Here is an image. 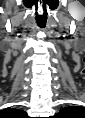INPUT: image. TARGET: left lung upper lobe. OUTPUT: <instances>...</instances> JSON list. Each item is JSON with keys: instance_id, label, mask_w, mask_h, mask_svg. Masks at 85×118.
I'll return each mask as SVG.
<instances>
[{"instance_id": "1", "label": "left lung upper lobe", "mask_w": 85, "mask_h": 118, "mask_svg": "<svg viewBox=\"0 0 85 118\" xmlns=\"http://www.w3.org/2000/svg\"><path fill=\"white\" fill-rule=\"evenodd\" d=\"M75 109V107H66L63 108L60 112L59 115H71L72 111Z\"/></svg>"}]
</instances>
